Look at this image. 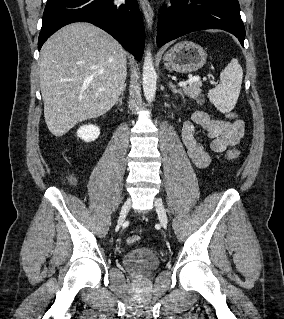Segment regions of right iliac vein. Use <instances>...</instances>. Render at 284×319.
I'll use <instances>...</instances> for the list:
<instances>
[{
    "mask_svg": "<svg viewBox=\"0 0 284 319\" xmlns=\"http://www.w3.org/2000/svg\"><path fill=\"white\" fill-rule=\"evenodd\" d=\"M130 205H131V200L127 199L126 202L124 203V205L122 206L121 211H120V216L118 219L119 224L123 223V221L125 220L128 212H129Z\"/></svg>",
    "mask_w": 284,
    "mask_h": 319,
    "instance_id": "1",
    "label": "right iliac vein"
}]
</instances>
